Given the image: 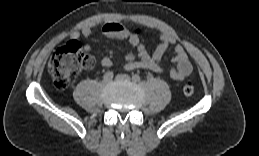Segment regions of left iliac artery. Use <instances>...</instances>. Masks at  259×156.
Masks as SVG:
<instances>
[{
  "mask_svg": "<svg viewBox=\"0 0 259 156\" xmlns=\"http://www.w3.org/2000/svg\"><path fill=\"white\" fill-rule=\"evenodd\" d=\"M132 80H133L134 82H139V81H140V76L137 75V74H135V75L132 76Z\"/></svg>",
  "mask_w": 259,
  "mask_h": 156,
  "instance_id": "obj_1",
  "label": "left iliac artery"
}]
</instances>
